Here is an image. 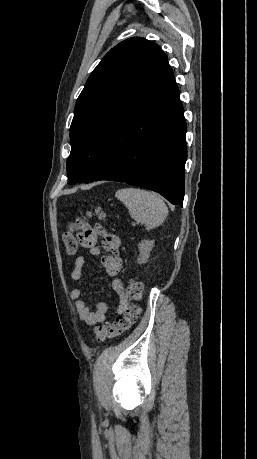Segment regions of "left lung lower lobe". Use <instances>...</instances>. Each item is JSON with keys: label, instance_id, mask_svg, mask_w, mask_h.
<instances>
[{"label": "left lung lower lobe", "instance_id": "0a47b994", "mask_svg": "<svg viewBox=\"0 0 257 459\" xmlns=\"http://www.w3.org/2000/svg\"><path fill=\"white\" fill-rule=\"evenodd\" d=\"M186 122L167 60L117 125L109 157L94 181L125 182L183 205Z\"/></svg>", "mask_w": 257, "mask_h": 459}]
</instances>
